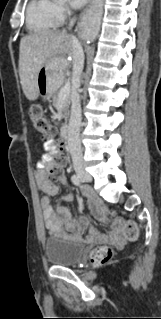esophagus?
<instances>
[{
  "instance_id": "esophagus-1",
  "label": "esophagus",
  "mask_w": 161,
  "mask_h": 319,
  "mask_svg": "<svg viewBox=\"0 0 161 319\" xmlns=\"http://www.w3.org/2000/svg\"><path fill=\"white\" fill-rule=\"evenodd\" d=\"M77 28H78V34H79V35H81V27H80V23H78Z\"/></svg>"
}]
</instances>
